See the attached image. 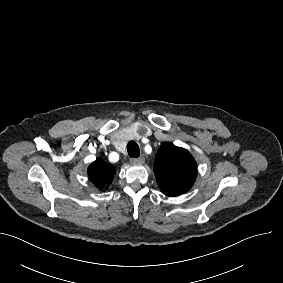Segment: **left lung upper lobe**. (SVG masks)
<instances>
[{
  "mask_svg": "<svg viewBox=\"0 0 283 283\" xmlns=\"http://www.w3.org/2000/svg\"><path fill=\"white\" fill-rule=\"evenodd\" d=\"M154 173L163 194L178 196L193 186L197 177V164L186 149L166 142L156 154Z\"/></svg>",
  "mask_w": 283,
  "mask_h": 283,
  "instance_id": "5c2ea615",
  "label": "left lung upper lobe"
}]
</instances>
